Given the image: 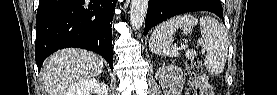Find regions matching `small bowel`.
<instances>
[{"label": "small bowel", "mask_w": 277, "mask_h": 95, "mask_svg": "<svg viewBox=\"0 0 277 95\" xmlns=\"http://www.w3.org/2000/svg\"><path fill=\"white\" fill-rule=\"evenodd\" d=\"M178 76L182 77V74L178 73ZM193 84L200 89L201 95H209V93H207L209 83L205 76L196 77L195 80L193 81Z\"/></svg>", "instance_id": "c3829d8e"}]
</instances>
